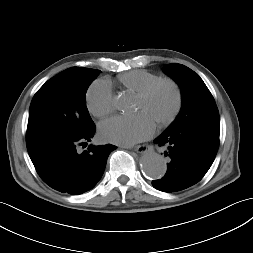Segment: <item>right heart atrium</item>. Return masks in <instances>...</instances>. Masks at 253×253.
<instances>
[{
	"mask_svg": "<svg viewBox=\"0 0 253 253\" xmlns=\"http://www.w3.org/2000/svg\"><path fill=\"white\" fill-rule=\"evenodd\" d=\"M86 106L95 117L102 118L113 111V92L105 80H96L86 92Z\"/></svg>",
	"mask_w": 253,
	"mask_h": 253,
	"instance_id": "right-heart-atrium-1",
	"label": "right heart atrium"
}]
</instances>
